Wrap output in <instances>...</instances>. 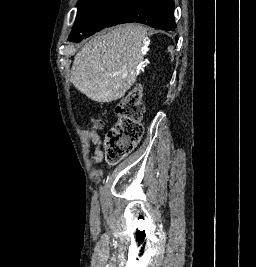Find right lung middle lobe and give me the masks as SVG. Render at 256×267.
<instances>
[{"instance_id":"obj_1","label":"right lung middle lobe","mask_w":256,"mask_h":267,"mask_svg":"<svg viewBox=\"0 0 256 267\" xmlns=\"http://www.w3.org/2000/svg\"><path fill=\"white\" fill-rule=\"evenodd\" d=\"M140 0H79L76 23L69 41L79 42L115 23Z\"/></svg>"}]
</instances>
